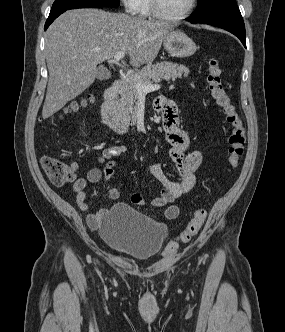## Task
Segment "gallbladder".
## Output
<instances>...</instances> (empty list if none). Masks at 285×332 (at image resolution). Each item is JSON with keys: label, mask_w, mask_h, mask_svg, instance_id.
Segmentation results:
<instances>
[{"label": "gallbladder", "mask_w": 285, "mask_h": 332, "mask_svg": "<svg viewBox=\"0 0 285 332\" xmlns=\"http://www.w3.org/2000/svg\"><path fill=\"white\" fill-rule=\"evenodd\" d=\"M111 77V73L108 69L100 67L97 69V79L98 80H107Z\"/></svg>", "instance_id": "1"}]
</instances>
